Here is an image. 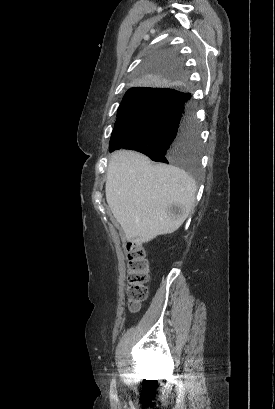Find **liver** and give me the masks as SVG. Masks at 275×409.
Wrapping results in <instances>:
<instances>
[{"instance_id":"6515ba94","label":"liver","mask_w":275,"mask_h":409,"mask_svg":"<svg viewBox=\"0 0 275 409\" xmlns=\"http://www.w3.org/2000/svg\"><path fill=\"white\" fill-rule=\"evenodd\" d=\"M196 182L183 168L151 164L134 150H115L109 158L106 200L126 239L136 245L177 231L195 202ZM171 202L185 209L182 219L167 215Z\"/></svg>"}]
</instances>
